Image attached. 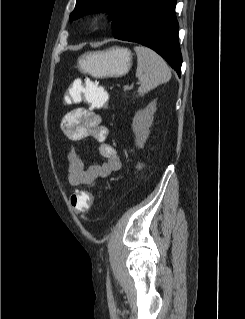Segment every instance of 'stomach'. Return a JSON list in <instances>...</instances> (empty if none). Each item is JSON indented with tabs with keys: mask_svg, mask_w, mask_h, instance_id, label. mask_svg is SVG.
<instances>
[{
	"mask_svg": "<svg viewBox=\"0 0 245 319\" xmlns=\"http://www.w3.org/2000/svg\"><path fill=\"white\" fill-rule=\"evenodd\" d=\"M131 63V51L116 46L103 51L87 52L78 59L81 72L96 78L126 75L131 68Z\"/></svg>",
	"mask_w": 245,
	"mask_h": 319,
	"instance_id": "obj_1",
	"label": "stomach"
}]
</instances>
